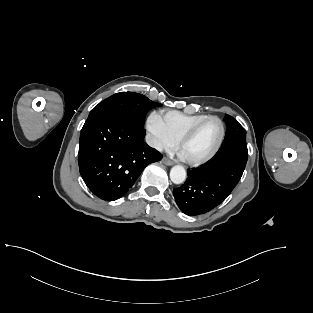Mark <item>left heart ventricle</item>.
Segmentation results:
<instances>
[{"mask_svg":"<svg viewBox=\"0 0 313 313\" xmlns=\"http://www.w3.org/2000/svg\"><path fill=\"white\" fill-rule=\"evenodd\" d=\"M220 136V125L216 120L205 122L180 148L187 159H198L209 154Z\"/></svg>","mask_w":313,"mask_h":313,"instance_id":"b2bd125f","label":"left heart ventricle"}]
</instances>
